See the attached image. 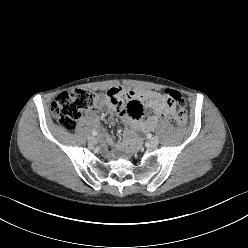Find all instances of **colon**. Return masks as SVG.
Here are the masks:
<instances>
[{
	"label": "colon",
	"instance_id": "colon-1",
	"mask_svg": "<svg viewBox=\"0 0 248 248\" xmlns=\"http://www.w3.org/2000/svg\"><path fill=\"white\" fill-rule=\"evenodd\" d=\"M164 95L171 107H176L174 119L179 126H186L187 111L185 102L178 91L167 89ZM99 97L86 89H75L59 94L51 105V113L57 122L66 130H73L82 112L92 108Z\"/></svg>",
	"mask_w": 248,
	"mask_h": 248
}]
</instances>
